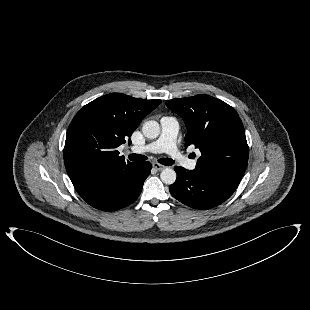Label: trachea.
<instances>
[{"label": "trachea", "mask_w": 310, "mask_h": 310, "mask_svg": "<svg viewBox=\"0 0 310 310\" xmlns=\"http://www.w3.org/2000/svg\"><path fill=\"white\" fill-rule=\"evenodd\" d=\"M129 159L131 161H145L148 158L145 155H140V154H131L129 155ZM159 163L166 165V166H170L174 164V161L170 158H161L158 160Z\"/></svg>", "instance_id": "3493384b"}]
</instances>
